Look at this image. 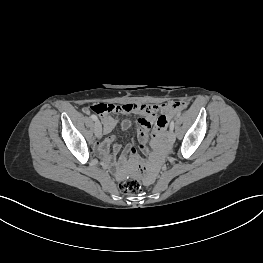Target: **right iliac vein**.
I'll use <instances>...</instances> for the list:
<instances>
[{
  "mask_svg": "<svg viewBox=\"0 0 263 263\" xmlns=\"http://www.w3.org/2000/svg\"><path fill=\"white\" fill-rule=\"evenodd\" d=\"M94 133L96 137H101L102 134V126L99 121H96L95 126H94Z\"/></svg>",
  "mask_w": 263,
  "mask_h": 263,
  "instance_id": "63e3f726",
  "label": "right iliac vein"
}]
</instances>
